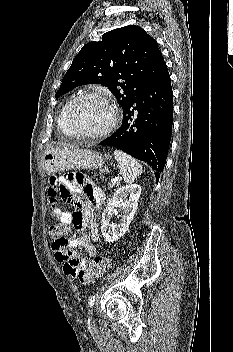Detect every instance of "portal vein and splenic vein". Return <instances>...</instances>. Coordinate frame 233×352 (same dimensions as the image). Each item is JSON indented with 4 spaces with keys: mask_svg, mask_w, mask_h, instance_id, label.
<instances>
[{
    "mask_svg": "<svg viewBox=\"0 0 233 352\" xmlns=\"http://www.w3.org/2000/svg\"><path fill=\"white\" fill-rule=\"evenodd\" d=\"M117 181V178H112L111 179V182H116Z\"/></svg>",
    "mask_w": 233,
    "mask_h": 352,
    "instance_id": "obj_1",
    "label": "portal vein and splenic vein"
}]
</instances>
